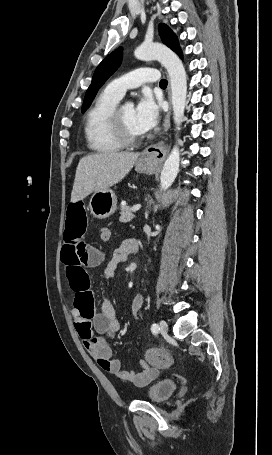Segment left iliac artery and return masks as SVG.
Wrapping results in <instances>:
<instances>
[{
  "instance_id": "obj_1",
  "label": "left iliac artery",
  "mask_w": 272,
  "mask_h": 455,
  "mask_svg": "<svg viewBox=\"0 0 272 455\" xmlns=\"http://www.w3.org/2000/svg\"><path fill=\"white\" fill-rule=\"evenodd\" d=\"M159 330H160V328H159L158 324L153 323L152 326H151L152 333L153 334H158Z\"/></svg>"
}]
</instances>
